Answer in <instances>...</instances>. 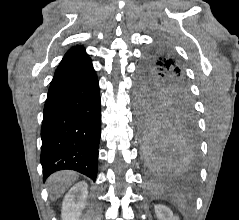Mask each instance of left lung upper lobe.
I'll return each mask as SVG.
<instances>
[{"mask_svg":"<svg viewBox=\"0 0 239 220\" xmlns=\"http://www.w3.org/2000/svg\"><path fill=\"white\" fill-rule=\"evenodd\" d=\"M141 70L147 100L144 124L164 112H193L183 63L170 47L159 44L150 50Z\"/></svg>","mask_w":239,"mask_h":220,"instance_id":"left-lung-upper-lobe-1","label":"left lung upper lobe"}]
</instances>
